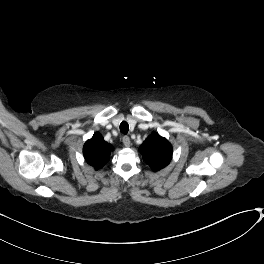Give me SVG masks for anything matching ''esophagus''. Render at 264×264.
<instances>
[{"label": "esophagus", "mask_w": 264, "mask_h": 264, "mask_svg": "<svg viewBox=\"0 0 264 264\" xmlns=\"http://www.w3.org/2000/svg\"><path fill=\"white\" fill-rule=\"evenodd\" d=\"M122 142H123L125 147H130L131 146L130 138L128 136H123Z\"/></svg>", "instance_id": "34e87169"}]
</instances>
